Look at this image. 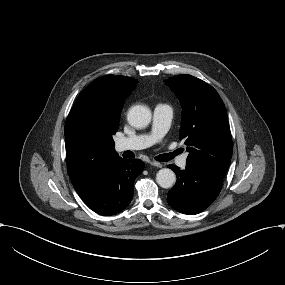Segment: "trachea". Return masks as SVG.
<instances>
[{"label": "trachea", "mask_w": 285, "mask_h": 285, "mask_svg": "<svg viewBox=\"0 0 285 285\" xmlns=\"http://www.w3.org/2000/svg\"><path fill=\"white\" fill-rule=\"evenodd\" d=\"M175 156H176V154L174 152H172V153H168V154H161V155L157 156L155 159L157 161H160V162H168V161L172 160Z\"/></svg>", "instance_id": "3493384b"}]
</instances>
